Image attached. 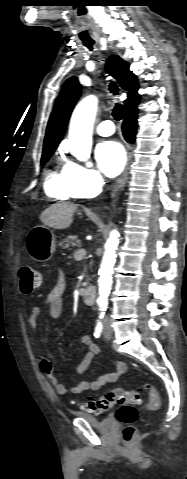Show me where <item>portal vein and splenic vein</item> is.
I'll use <instances>...</instances> for the list:
<instances>
[{
    "mask_svg": "<svg viewBox=\"0 0 187 479\" xmlns=\"http://www.w3.org/2000/svg\"><path fill=\"white\" fill-rule=\"evenodd\" d=\"M85 255H86V250L83 249V248H79V249H77V250L75 251V253H74V258H75L76 260H81V259H83V258L85 257Z\"/></svg>",
    "mask_w": 187,
    "mask_h": 479,
    "instance_id": "1",
    "label": "portal vein and splenic vein"
}]
</instances>
